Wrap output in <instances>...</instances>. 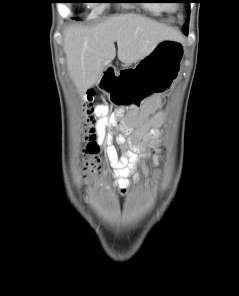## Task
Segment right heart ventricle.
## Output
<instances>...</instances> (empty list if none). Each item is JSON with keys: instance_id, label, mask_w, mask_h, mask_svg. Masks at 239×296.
I'll use <instances>...</instances> for the list:
<instances>
[{"instance_id": "1", "label": "right heart ventricle", "mask_w": 239, "mask_h": 296, "mask_svg": "<svg viewBox=\"0 0 239 296\" xmlns=\"http://www.w3.org/2000/svg\"><path fill=\"white\" fill-rule=\"evenodd\" d=\"M155 2L156 1H153V3L145 4L144 7L154 14H159L164 11V6Z\"/></svg>"}]
</instances>
